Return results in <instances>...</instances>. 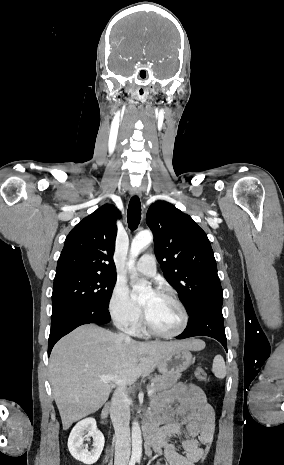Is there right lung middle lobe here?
I'll return each mask as SVG.
<instances>
[{"label":"right lung middle lobe","mask_w":284,"mask_h":465,"mask_svg":"<svg viewBox=\"0 0 284 465\" xmlns=\"http://www.w3.org/2000/svg\"><path fill=\"white\" fill-rule=\"evenodd\" d=\"M116 277L73 274L54 279L52 315L72 305L108 308Z\"/></svg>","instance_id":"dd1d6c3e"}]
</instances>
